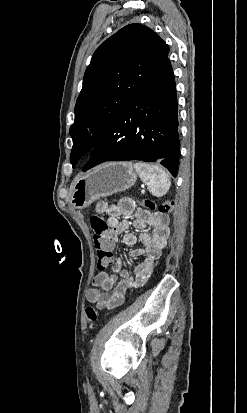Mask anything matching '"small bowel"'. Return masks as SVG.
<instances>
[{
    "label": "small bowel",
    "mask_w": 247,
    "mask_h": 413,
    "mask_svg": "<svg viewBox=\"0 0 247 413\" xmlns=\"http://www.w3.org/2000/svg\"><path fill=\"white\" fill-rule=\"evenodd\" d=\"M97 213H107V235L115 240L123 234V242L127 246H134L140 242L142 248L131 252L135 265L132 271H127L124 261L117 258L112 266L113 275L100 271L93 279V287L88 289L86 299L95 304L98 309H113L124 301L125 292L132 288H140L147 283L154 270L155 262L167 245L170 230L169 218L159 217L148 212H135L133 202L125 204L122 200L118 204L109 205L106 201H99L95 206ZM132 226L142 230L139 236L128 231ZM150 228L151 232L145 231Z\"/></svg>",
    "instance_id": "1"
}]
</instances>
